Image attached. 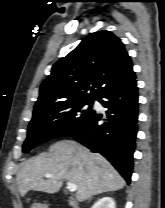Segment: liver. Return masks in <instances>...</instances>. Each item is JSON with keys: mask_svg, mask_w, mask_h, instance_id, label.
I'll return each mask as SVG.
<instances>
[{"mask_svg": "<svg viewBox=\"0 0 165 208\" xmlns=\"http://www.w3.org/2000/svg\"><path fill=\"white\" fill-rule=\"evenodd\" d=\"M45 174L52 177L43 179ZM64 180L77 186L79 202L125 186L124 179L102 155L71 140L56 142L48 153L26 161L16 177L21 196L30 190L54 194Z\"/></svg>", "mask_w": 165, "mask_h": 208, "instance_id": "liver-1", "label": "liver"}]
</instances>
